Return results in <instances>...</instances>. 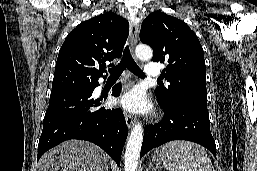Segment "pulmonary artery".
Instances as JSON below:
<instances>
[{
  "label": "pulmonary artery",
  "instance_id": "obj_1",
  "mask_svg": "<svg viewBox=\"0 0 257 171\" xmlns=\"http://www.w3.org/2000/svg\"><path fill=\"white\" fill-rule=\"evenodd\" d=\"M160 73L159 65L155 62H149L145 66V75L147 77H156Z\"/></svg>",
  "mask_w": 257,
  "mask_h": 171
}]
</instances>
